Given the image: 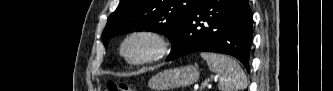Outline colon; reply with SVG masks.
Masks as SVG:
<instances>
[{
	"label": "colon",
	"instance_id": "obj_1",
	"mask_svg": "<svg viewBox=\"0 0 333 91\" xmlns=\"http://www.w3.org/2000/svg\"><path fill=\"white\" fill-rule=\"evenodd\" d=\"M133 89L130 88L125 83H116V82H108L106 86V91H132Z\"/></svg>",
	"mask_w": 333,
	"mask_h": 91
}]
</instances>
